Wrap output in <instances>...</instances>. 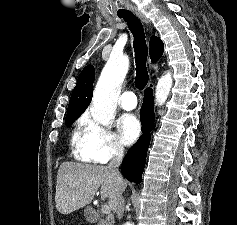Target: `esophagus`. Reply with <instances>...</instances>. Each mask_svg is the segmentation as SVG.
<instances>
[{
    "instance_id": "34e87169",
    "label": "esophagus",
    "mask_w": 237,
    "mask_h": 225,
    "mask_svg": "<svg viewBox=\"0 0 237 225\" xmlns=\"http://www.w3.org/2000/svg\"><path fill=\"white\" fill-rule=\"evenodd\" d=\"M133 13L145 24H149V20L145 17V15L138 9H133Z\"/></svg>"
}]
</instances>
